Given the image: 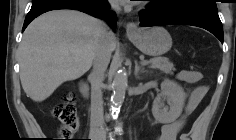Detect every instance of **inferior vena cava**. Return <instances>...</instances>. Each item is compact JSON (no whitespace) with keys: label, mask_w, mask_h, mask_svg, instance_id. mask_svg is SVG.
<instances>
[{"label":"inferior vena cava","mask_w":236,"mask_h":140,"mask_svg":"<svg viewBox=\"0 0 236 140\" xmlns=\"http://www.w3.org/2000/svg\"><path fill=\"white\" fill-rule=\"evenodd\" d=\"M110 5L113 10L120 11L117 1H111ZM113 38L114 34L109 32L108 28L104 25L103 35L99 40L94 54L93 70L89 76L91 82V121L97 129H99L104 123L101 87L113 51Z\"/></svg>","instance_id":"1"}]
</instances>
